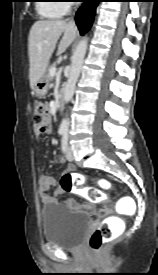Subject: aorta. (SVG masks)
<instances>
[{
  "instance_id": "aorta-1",
  "label": "aorta",
  "mask_w": 158,
  "mask_h": 275,
  "mask_svg": "<svg viewBox=\"0 0 158 275\" xmlns=\"http://www.w3.org/2000/svg\"><path fill=\"white\" fill-rule=\"evenodd\" d=\"M87 45H88V40L86 38H83L79 42L71 58L70 72H69L68 80L64 89V101L66 103H68L73 97L76 82L78 80L80 71L82 69L85 54L87 51ZM68 128H69V121L67 119H63L59 128L60 132L67 133Z\"/></svg>"
}]
</instances>
